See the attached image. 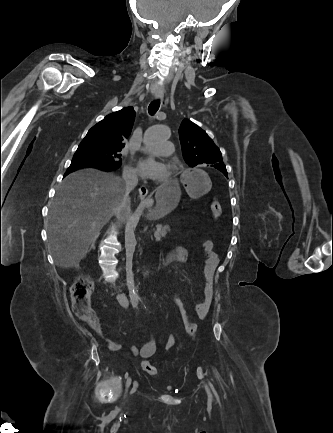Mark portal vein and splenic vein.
I'll use <instances>...</instances> for the list:
<instances>
[{"instance_id":"18ae733b","label":"portal vein and splenic vein","mask_w":333,"mask_h":433,"mask_svg":"<svg viewBox=\"0 0 333 433\" xmlns=\"http://www.w3.org/2000/svg\"><path fill=\"white\" fill-rule=\"evenodd\" d=\"M154 237H155L156 241H160V239H161L156 233L154 234Z\"/></svg>"}]
</instances>
